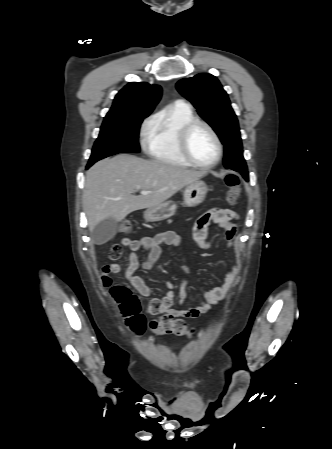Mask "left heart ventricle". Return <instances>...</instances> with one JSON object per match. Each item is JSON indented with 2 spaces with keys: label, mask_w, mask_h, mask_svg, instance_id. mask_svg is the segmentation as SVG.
<instances>
[{
  "label": "left heart ventricle",
  "mask_w": 332,
  "mask_h": 449,
  "mask_svg": "<svg viewBox=\"0 0 332 449\" xmlns=\"http://www.w3.org/2000/svg\"><path fill=\"white\" fill-rule=\"evenodd\" d=\"M189 149L196 161L211 163L217 155V147L211 134L202 126L196 127L189 136Z\"/></svg>",
  "instance_id": "1"
}]
</instances>
